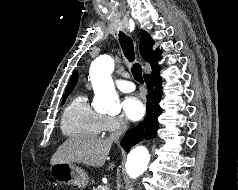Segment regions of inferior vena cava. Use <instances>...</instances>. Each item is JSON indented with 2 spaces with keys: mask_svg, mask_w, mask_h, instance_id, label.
<instances>
[{
  "mask_svg": "<svg viewBox=\"0 0 238 190\" xmlns=\"http://www.w3.org/2000/svg\"><path fill=\"white\" fill-rule=\"evenodd\" d=\"M127 128H128V127H127V122L124 121V120H122L121 123H120V127H119L118 131L112 133V134L110 135V137H109V140L112 141V142L114 141V142L118 143L120 136H121L123 133H125V131L127 130Z\"/></svg>",
  "mask_w": 238,
  "mask_h": 190,
  "instance_id": "1",
  "label": "inferior vena cava"
}]
</instances>
